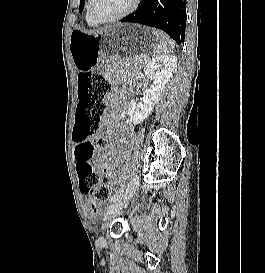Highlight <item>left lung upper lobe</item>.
<instances>
[{"instance_id":"1","label":"left lung upper lobe","mask_w":265,"mask_h":273,"mask_svg":"<svg viewBox=\"0 0 265 273\" xmlns=\"http://www.w3.org/2000/svg\"><path fill=\"white\" fill-rule=\"evenodd\" d=\"M84 3H85V0H81V3H80V7H79V12L81 13L83 8H84Z\"/></svg>"}]
</instances>
